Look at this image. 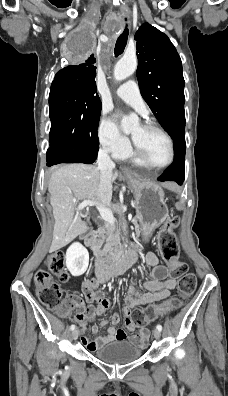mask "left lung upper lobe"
Wrapping results in <instances>:
<instances>
[{"mask_svg":"<svg viewBox=\"0 0 228 396\" xmlns=\"http://www.w3.org/2000/svg\"><path fill=\"white\" fill-rule=\"evenodd\" d=\"M137 79L141 95L169 135L185 126L181 59L169 38L144 23L136 32Z\"/></svg>","mask_w":228,"mask_h":396,"instance_id":"obj_1","label":"left lung upper lobe"}]
</instances>
